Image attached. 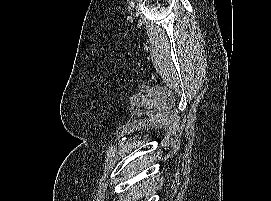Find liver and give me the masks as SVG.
I'll return each mask as SVG.
<instances>
[{
	"label": "liver",
	"mask_w": 271,
	"mask_h": 201,
	"mask_svg": "<svg viewBox=\"0 0 271 201\" xmlns=\"http://www.w3.org/2000/svg\"><path fill=\"white\" fill-rule=\"evenodd\" d=\"M137 166V162L133 165V167H136Z\"/></svg>",
	"instance_id": "6515ba94"
}]
</instances>
